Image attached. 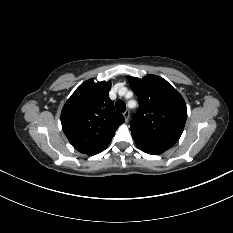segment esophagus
Returning <instances> with one entry per match:
<instances>
[{
  "mask_svg": "<svg viewBox=\"0 0 233 233\" xmlns=\"http://www.w3.org/2000/svg\"><path fill=\"white\" fill-rule=\"evenodd\" d=\"M123 116H124L125 120L128 121V120H129V117H130V112H129V110H126V111L123 113Z\"/></svg>",
  "mask_w": 233,
  "mask_h": 233,
  "instance_id": "34e87169",
  "label": "esophagus"
}]
</instances>
